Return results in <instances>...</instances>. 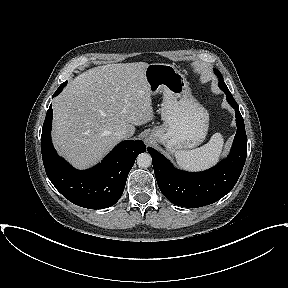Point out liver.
<instances>
[{
    "mask_svg": "<svg viewBox=\"0 0 288 288\" xmlns=\"http://www.w3.org/2000/svg\"><path fill=\"white\" fill-rule=\"evenodd\" d=\"M145 62L107 64L75 77L53 103V144L78 169L104 157L154 117Z\"/></svg>",
    "mask_w": 288,
    "mask_h": 288,
    "instance_id": "6515ba94",
    "label": "liver"
}]
</instances>
